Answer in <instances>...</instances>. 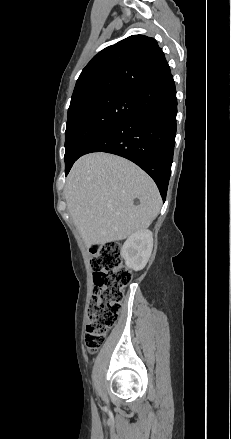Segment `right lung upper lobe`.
Masks as SVG:
<instances>
[{
  "instance_id": "right-lung-upper-lobe-1",
  "label": "right lung upper lobe",
  "mask_w": 231,
  "mask_h": 439,
  "mask_svg": "<svg viewBox=\"0 0 231 439\" xmlns=\"http://www.w3.org/2000/svg\"><path fill=\"white\" fill-rule=\"evenodd\" d=\"M170 73L155 39L127 37L100 51L80 74L69 109L105 94L135 93Z\"/></svg>"
}]
</instances>
